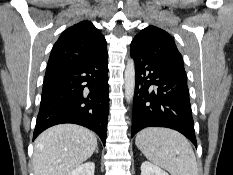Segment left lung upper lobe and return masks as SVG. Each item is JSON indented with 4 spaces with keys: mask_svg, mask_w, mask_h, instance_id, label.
Instances as JSON below:
<instances>
[{
    "mask_svg": "<svg viewBox=\"0 0 233 175\" xmlns=\"http://www.w3.org/2000/svg\"><path fill=\"white\" fill-rule=\"evenodd\" d=\"M131 44L154 62L185 73L182 56L166 31L148 26L135 36Z\"/></svg>",
    "mask_w": 233,
    "mask_h": 175,
    "instance_id": "5c2ea615",
    "label": "left lung upper lobe"
}]
</instances>
